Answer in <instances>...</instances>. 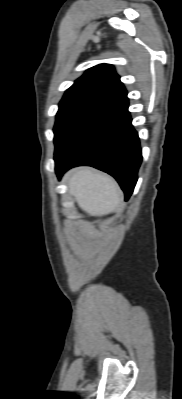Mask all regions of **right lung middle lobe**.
I'll use <instances>...</instances> for the list:
<instances>
[{"mask_svg":"<svg viewBox=\"0 0 182 399\" xmlns=\"http://www.w3.org/2000/svg\"><path fill=\"white\" fill-rule=\"evenodd\" d=\"M105 102L85 96H65L59 104L54 126V143L58 145L66 134L84 118L103 108Z\"/></svg>","mask_w":182,"mask_h":399,"instance_id":"dd1d6c3e","label":"right lung middle lobe"}]
</instances>
